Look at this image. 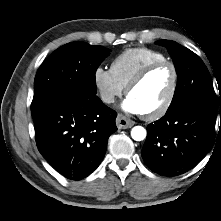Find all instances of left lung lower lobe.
<instances>
[{
	"mask_svg": "<svg viewBox=\"0 0 221 221\" xmlns=\"http://www.w3.org/2000/svg\"><path fill=\"white\" fill-rule=\"evenodd\" d=\"M217 111L199 102L168 109L147 128L142 148L145 164L163 176H177L195 167L212 149Z\"/></svg>",
	"mask_w": 221,
	"mask_h": 221,
	"instance_id": "left-lung-lower-lobe-1",
	"label": "left lung lower lobe"
}]
</instances>
